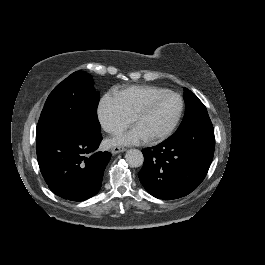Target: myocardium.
I'll use <instances>...</instances> for the list:
<instances>
[{
	"mask_svg": "<svg viewBox=\"0 0 265 265\" xmlns=\"http://www.w3.org/2000/svg\"><path fill=\"white\" fill-rule=\"evenodd\" d=\"M170 94L173 95L175 97H177L179 99L180 102V106H179V110L177 112L176 117L169 123L167 124L165 127H163L158 133L148 137L149 141H157L159 139H162L164 137H166L173 129L174 127L178 124V122L180 121L182 114H183V110H184V100L183 97L177 93L174 92L170 89H158L156 91H154L152 94H150L145 100L144 102L140 105V107L138 108V110L135 112L133 119H134V123H136L137 118L144 113L147 108L150 106V104L153 102V100L160 94Z\"/></svg>",
	"mask_w": 265,
	"mask_h": 265,
	"instance_id": "1",
	"label": "myocardium"
}]
</instances>
